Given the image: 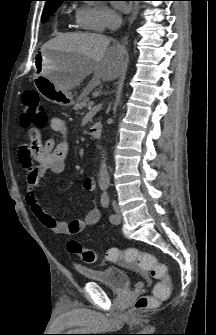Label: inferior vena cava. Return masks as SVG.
<instances>
[{"mask_svg":"<svg viewBox=\"0 0 216 335\" xmlns=\"http://www.w3.org/2000/svg\"><path fill=\"white\" fill-rule=\"evenodd\" d=\"M121 23H122V20H121L120 17H114L111 20V23L109 25V29L112 30V31H115L121 26Z\"/></svg>","mask_w":216,"mask_h":335,"instance_id":"inferior-vena-cava-1","label":"inferior vena cava"}]
</instances>
